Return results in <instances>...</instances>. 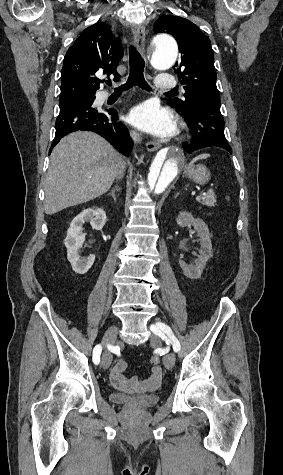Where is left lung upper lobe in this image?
<instances>
[{
    "label": "left lung upper lobe",
    "instance_id": "5c2ea615",
    "mask_svg": "<svg viewBox=\"0 0 283 475\" xmlns=\"http://www.w3.org/2000/svg\"><path fill=\"white\" fill-rule=\"evenodd\" d=\"M154 32L173 35L182 55L175 73L180 74L179 80L185 89V100L174 98L167 103L183 114L190 112L199 98L220 99L210 39L191 21L172 15L159 17L154 23ZM177 65L178 63L175 64Z\"/></svg>",
    "mask_w": 283,
    "mask_h": 475
}]
</instances>
